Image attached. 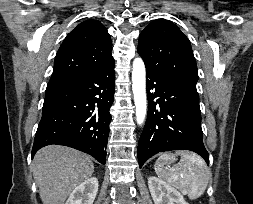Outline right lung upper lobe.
I'll return each mask as SVG.
<instances>
[{
  "instance_id": "obj_1",
  "label": "right lung upper lobe",
  "mask_w": 253,
  "mask_h": 204,
  "mask_svg": "<svg viewBox=\"0 0 253 204\" xmlns=\"http://www.w3.org/2000/svg\"><path fill=\"white\" fill-rule=\"evenodd\" d=\"M111 48L110 35L100 21L80 23L61 44L49 83L82 76L114 62Z\"/></svg>"
}]
</instances>
